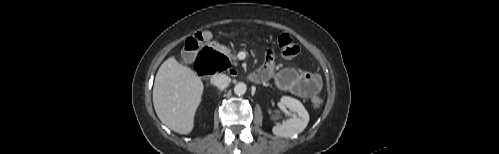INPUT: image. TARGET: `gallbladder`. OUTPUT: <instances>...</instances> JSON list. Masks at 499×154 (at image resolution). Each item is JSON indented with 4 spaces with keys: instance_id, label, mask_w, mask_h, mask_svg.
I'll list each match as a JSON object with an SVG mask.
<instances>
[{
    "instance_id": "bac80fb5",
    "label": "gallbladder",
    "mask_w": 499,
    "mask_h": 154,
    "mask_svg": "<svg viewBox=\"0 0 499 154\" xmlns=\"http://www.w3.org/2000/svg\"><path fill=\"white\" fill-rule=\"evenodd\" d=\"M184 62H185V63H189V61H188V60H186V59H184Z\"/></svg>"
}]
</instances>
